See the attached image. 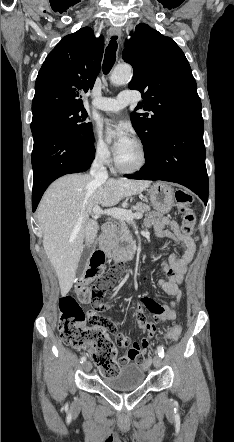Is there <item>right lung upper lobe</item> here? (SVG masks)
Masks as SVG:
<instances>
[{
    "mask_svg": "<svg viewBox=\"0 0 234 442\" xmlns=\"http://www.w3.org/2000/svg\"><path fill=\"white\" fill-rule=\"evenodd\" d=\"M104 39L84 27L65 36L49 53L35 83L33 116L60 108H81V92L92 89L101 68Z\"/></svg>",
    "mask_w": 234,
    "mask_h": 442,
    "instance_id": "1",
    "label": "right lung upper lobe"
}]
</instances>
